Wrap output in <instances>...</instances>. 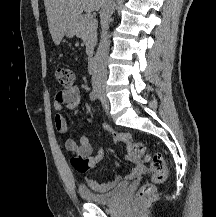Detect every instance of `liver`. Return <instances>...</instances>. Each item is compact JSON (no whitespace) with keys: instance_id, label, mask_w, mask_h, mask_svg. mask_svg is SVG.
Segmentation results:
<instances>
[{"instance_id":"obj_1","label":"liver","mask_w":216,"mask_h":217,"mask_svg":"<svg viewBox=\"0 0 216 217\" xmlns=\"http://www.w3.org/2000/svg\"><path fill=\"white\" fill-rule=\"evenodd\" d=\"M104 0H44L48 27L55 45L76 24L83 11H98Z\"/></svg>"}]
</instances>
